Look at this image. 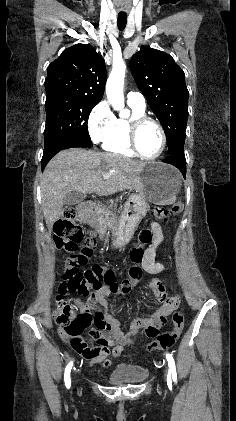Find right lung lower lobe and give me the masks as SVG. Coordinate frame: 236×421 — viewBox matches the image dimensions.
<instances>
[{"label":"right lung lower lobe","instance_id":"98d812e1","mask_svg":"<svg viewBox=\"0 0 236 421\" xmlns=\"http://www.w3.org/2000/svg\"><path fill=\"white\" fill-rule=\"evenodd\" d=\"M73 147H88L85 144L80 143L79 141L67 138V137H60L52 142H50L48 145H45L44 147V153L41 161V167L42 171L44 170L45 166L49 162V160L57 154L59 151L63 149L73 148Z\"/></svg>","mask_w":236,"mask_h":421}]
</instances>
